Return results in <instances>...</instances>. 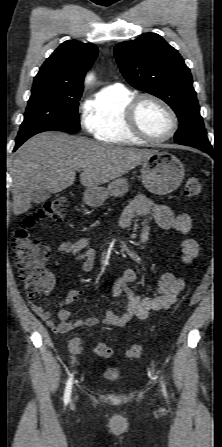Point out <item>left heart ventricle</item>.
Returning <instances> with one entry per match:
<instances>
[{
  "mask_svg": "<svg viewBox=\"0 0 222 447\" xmlns=\"http://www.w3.org/2000/svg\"><path fill=\"white\" fill-rule=\"evenodd\" d=\"M138 122L141 128L154 138L165 136L171 128V119L168 113L160 105L149 100L140 105Z\"/></svg>",
  "mask_w": 222,
  "mask_h": 447,
  "instance_id": "obj_1",
  "label": "left heart ventricle"
}]
</instances>
